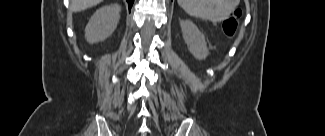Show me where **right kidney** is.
<instances>
[{"label": "right kidney", "mask_w": 325, "mask_h": 136, "mask_svg": "<svg viewBox=\"0 0 325 136\" xmlns=\"http://www.w3.org/2000/svg\"><path fill=\"white\" fill-rule=\"evenodd\" d=\"M120 11L121 7L118 4H110L98 9L86 25V40L93 44L109 37L117 27Z\"/></svg>", "instance_id": "right-kidney-1"}]
</instances>
